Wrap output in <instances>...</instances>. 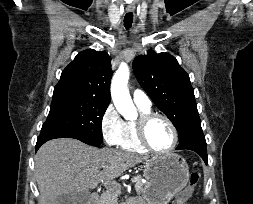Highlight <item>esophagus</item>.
I'll list each match as a JSON object with an SVG mask.
<instances>
[{"instance_id":"1","label":"esophagus","mask_w":253,"mask_h":204,"mask_svg":"<svg viewBox=\"0 0 253 204\" xmlns=\"http://www.w3.org/2000/svg\"><path fill=\"white\" fill-rule=\"evenodd\" d=\"M126 9H127L128 12H132L134 10V7L129 5V6H127Z\"/></svg>"}]
</instances>
